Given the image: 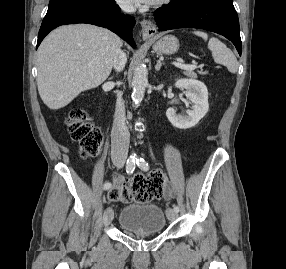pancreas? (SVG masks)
Instances as JSON below:
<instances>
[{"mask_svg":"<svg viewBox=\"0 0 286 269\" xmlns=\"http://www.w3.org/2000/svg\"><path fill=\"white\" fill-rule=\"evenodd\" d=\"M184 74L188 77H191V78H196L197 77V74L193 71H190V70H185L184 71Z\"/></svg>","mask_w":286,"mask_h":269,"instance_id":"pancreas-1","label":"pancreas"}]
</instances>
